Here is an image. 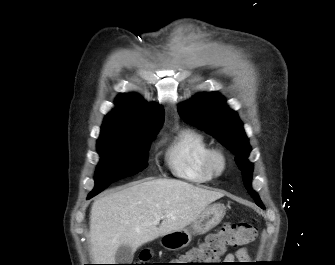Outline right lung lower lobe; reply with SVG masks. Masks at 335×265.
I'll list each match as a JSON object with an SVG mask.
<instances>
[{
    "instance_id": "98d812e1",
    "label": "right lung lower lobe",
    "mask_w": 335,
    "mask_h": 265,
    "mask_svg": "<svg viewBox=\"0 0 335 265\" xmlns=\"http://www.w3.org/2000/svg\"><path fill=\"white\" fill-rule=\"evenodd\" d=\"M91 197H92V196L89 195V196H88V199L91 198Z\"/></svg>"
}]
</instances>
